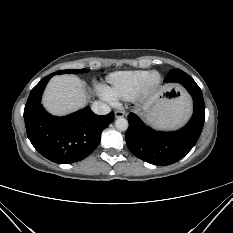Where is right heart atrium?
<instances>
[{
	"instance_id": "1",
	"label": "right heart atrium",
	"mask_w": 233,
	"mask_h": 233,
	"mask_svg": "<svg viewBox=\"0 0 233 233\" xmlns=\"http://www.w3.org/2000/svg\"><path fill=\"white\" fill-rule=\"evenodd\" d=\"M101 96L108 101H112V99L109 97L104 89L101 90Z\"/></svg>"
}]
</instances>
